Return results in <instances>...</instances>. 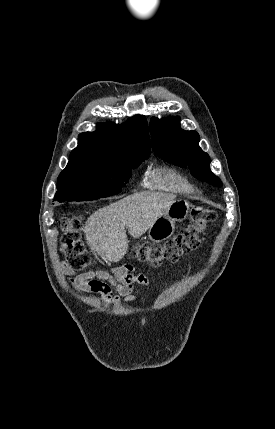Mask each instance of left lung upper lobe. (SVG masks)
<instances>
[{
    "label": "left lung upper lobe",
    "instance_id": "left-lung-upper-lobe-1",
    "mask_svg": "<svg viewBox=\"0 0 275 429\" xmlns=\"http://www.w3.org/2000/svg\"><path fill=\"white\" fill-rule=\"evenodd\" d=\"M152 144L156 154L177 166H189L194 177L221 187V180L210 170V158L199 147V134L180 128L178 117L152 118L150 122Z\"/></svg>",
    "mask_w": 275,
    "mask_h": 429
}]
</instances>
